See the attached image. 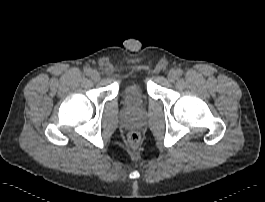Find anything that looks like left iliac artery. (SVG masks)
<instances>
[{
	"instance_id": "1",
	"label": "left iliac artery",
	"mask_w": 265,
	"mask_h": 202,
	"mask_svg": "<svg viewBox=\"0 0 265 202\" xmlns=\"http://www.w3.org/2000/svg\"><path fill=\"white\" fill-rule=\"evenodd\" d=\"M176 73H177V75L181 76L183 74V70L182 69H177Z\"/></svg>"
}]
</instances>
